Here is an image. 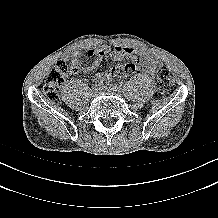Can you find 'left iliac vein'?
<instances>
[{
    "mask_svg": "<svg viewBox=\"0 0 218 218\" xmlns=\"http://www.w3.org/2000/svg\"><path fill=\"white\" fill-rule=\"evenodd\" d=\"M101 91H107V92H112V93H116V94H120L121 91L119 90L118 87L116 86H112V85H104L101 87Z\"/></svg>",
    "mask_w": 218,
    "mask_h": 218,
    "instance_id": "obj_1",
    "label": "left iliac vein"
}]
</instances>
